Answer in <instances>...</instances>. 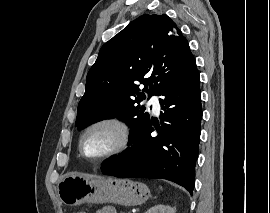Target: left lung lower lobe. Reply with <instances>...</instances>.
Returning a JSON list of instances; mask_svg holds the SVG:
<instances>
[{
    "mask_svg": "<svg viewBox=\"0 0 270 213\" xmlns=\"http://www.w3.org/2000/svg\"><path fill=\"white\" fill-rule=\"evenodd\" d=\"M158 95L161 127L149 122L124 153L105 161L102 173L128 178H162L194 189L195 163L202 118L199 73L196 64L170 82ZM156 128L158 136L151 137Z\"/></svg>",
    "mask_w": 270,
    "mask_h": 213,
    "instance_id": "obj_1",
    "label": "left lung lower lobe"
}]
</instances>
